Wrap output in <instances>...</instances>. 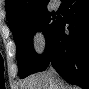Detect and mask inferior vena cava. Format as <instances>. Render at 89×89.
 Returning a JSON list of instances; mask_svg holds the SVG:
<instances>
[{"mask_svg":"<svg viewBox=\"0 0 89 89\" xmlns=\"http://www.w3.org/2000/svg\"><path fill=\"white\" fill-rule=\"evenodd\" d=\"M50 70H51V71H53V72L55 73V71H54V69H53V68H50Z\"/></svg>","mask_w":89,"mask_h":89,"instance_id":"1","label":"inferior vena cava"}]
</instances>
